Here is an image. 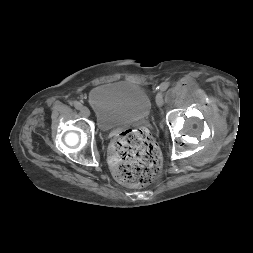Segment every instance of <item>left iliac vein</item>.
<instances>
[{
  "mask_svg": "<svg viewBox=\"0 0 253 253\" xmlns=\"http://www.w3.org/2000/svg\"><path fill=\"white\" fill-rule=\"evenodd\" d=\"M156 104L159 108H161L163 106V96L161 93H158L156 95Z\"/></svg>",
  "mask_w": 253,
  "mask_h": 253,
  "instance_id": "4c4485c4",
  "label": "left iliac vein"
}]
</instances>
